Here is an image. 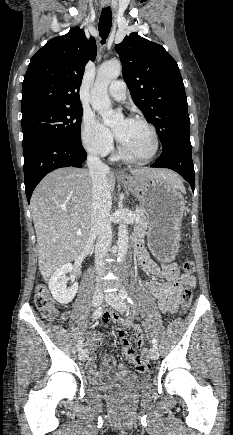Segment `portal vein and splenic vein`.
<instances>
[{
	"instance_id": "1",
	"label": "portal vein and splenic vein",
	"mask_w": 233,
	"mask_h": 435,
	"mask_svg": "<svg viewBox=\"0 0 233 435\" xmlns=\"http://www.w3.org/2000/svg\"><path fill=\"white\" fill-rule=\"evenodd\" d=\"M138 220H139V216H136V217H135V221H138ZM81 233H82V232H81L80 230H78V231L76 232L77 235H81Z\"/></svg>"
}]
</instances>
